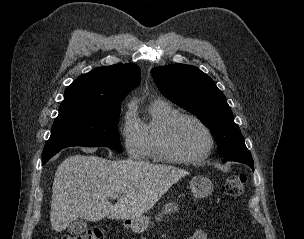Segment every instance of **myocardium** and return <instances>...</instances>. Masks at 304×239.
I'll return each mask as SVG.
<instances>
[{
	"instance_id": "f54148a6",
	"label": "myocardium",
	"mask_w": 304,
	"mask_h": 239,
	"mask_svg": "<svg viewBox=\"0 0 304 239\" xmlns=\"http://www.w3.org/2000/svg\"><path fill=\"white\" fill-rule=\"evenodd\" d=\"M185 119H189L197 123L206 134L207 146L197 155H183L179 153L173 145L172 138L174 129L182 120ZM159 146L163 156L168 162L190 164L200 162L210 155L214 148V137L208 125L198 116L190 113H178L165 124L160 136Z\"/></svg>"
}]
</instances>
